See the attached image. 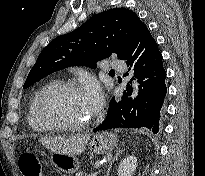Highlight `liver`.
Wrapping results in <instances>:
<instances>
[{
    "label": "liver",
    "instance_id": "1",
    "mask_svg": "<svg viewBox=\"0 0 205 176\" xmlns=\"http://www.w3.org/2000/svg\"><path fill=\"white\" fill-rule=\"evenodd\" d=\"M90 139L89 134L79 135L77 137L65 138H44L41 143L53 152H61L67 155H78L82 153Z\"/></svg>",
    "mask_w": 205,
    "mask_h": 176
}]
</instances>
